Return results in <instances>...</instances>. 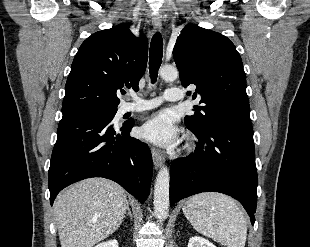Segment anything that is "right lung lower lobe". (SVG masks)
<instances>
[{
    "label": "right lung lower lobe",
    "mask_w": 310,
    "mask_h": 247,
    "mask_svg": "<svg viewBox=\"0 0 310 247\" xmlns=\"http://www.w3.org/2000/svg\"><path fill=\"white\" fill-rule=\"evenodd\" d=\"M110 116L62 118L49 174L50 203L66 186L90 177L120 184L141 203L147 199L152 156L146 143L129 136L134 122L113 126Z\"/></svg>",
    "instance_id": "obj_1"
}]
</instances>
